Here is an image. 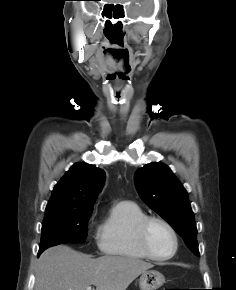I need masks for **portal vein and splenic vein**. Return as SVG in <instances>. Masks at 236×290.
I'll return each mask as SVG.
<instances>
[{
	"label": "portal vein and splenic vein",
	"instance_id": "portal-vein-and-splenic-vein-1",
	"mask_svg": "<svg viewBox=\"0 0 236 290\" xmlns=\"http://www.w3.org/2000/svg\"><path fill=\"white\" fill-rule=\"evenodd\" d=\"M86 290H92V288L89 286V287L86 288Z\"/></svg>",
	"mask_w": 236,
	"mask_h": 290
}]
</instances>
